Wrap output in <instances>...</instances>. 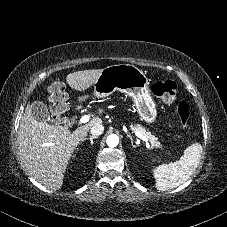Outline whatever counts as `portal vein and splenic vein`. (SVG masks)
<instances>
[{"label": "portal vein and splenic vein", "instance_id": "portal-vein-and-splenic-vein-1", "mask_svg": "<svg viewBox=\"0 0 227 227\" xmlns=\"http://www.w3.org/2000/svg\"><path fill=\"white\" fill-rule=\"evenodd\" d=\"M90 117L88 115H84L80 118V123H87L89 121ZM134 134L139 137L140 139H142L143 141H145L146 143L149 142V138L148 136L144 135L143 133L139 132V131H133Z\"/></svg>", "mask_w": 227, "mask_h": 227}]
</instances>
